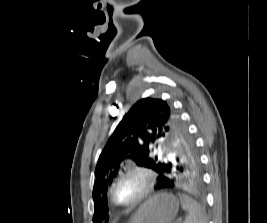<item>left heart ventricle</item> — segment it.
<instances>
[{"instance_id": "obj_1", "label": "left heart ventricle", "mask_w": 267, "mask_h": 223, "mask_svg": "<svg viewBox=\"0 0 267 223\" xmlns=\"http://www.w3.org/2000/svg\"><path fill=\"white\" fill-rule=\"evenodd\" d=\"M143 187V181L138 176H129L121 180L116 188L115 194L120 201H129L136 197Z\"/></svg>"}]
</instances>
